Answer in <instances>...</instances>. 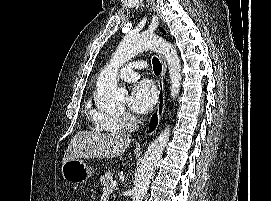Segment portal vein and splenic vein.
<instances>
[{
	"label": "portal vein and splenic vein",
	"instance_id": "portal-vein-and-splenic-vein-1",
	"mask_svg": "<svg viewBox=\"0 0 271 201\" xmlns=\"http://www.w3.org/2000/svg\"><path fill=\"white\" fill-rule=\"evenodd\" d=\"M116 186H117V182H116V181H112L111 184H110V186H108V187L106 188V190H112V189H114Z\"/></svg>",
	"mask_w": 271,
	"mask_h": 201
}]
</instances>
